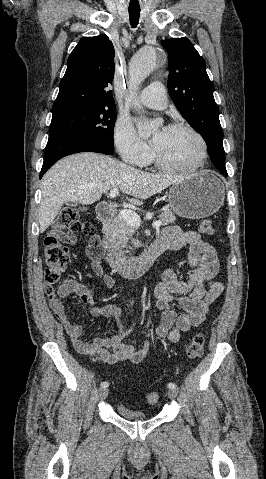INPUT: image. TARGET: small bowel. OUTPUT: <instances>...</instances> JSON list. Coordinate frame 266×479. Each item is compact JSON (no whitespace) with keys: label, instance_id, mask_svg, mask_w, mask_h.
Here are the masks:
<instances>
[{"label":"small bowel","instance_id":"small-bowel-1","mask_svg":"<svg viewBox=\"0 0 266 479\" xmlns=\"http://www.w3.org/2000/svg\"><path fill=\"white\" fill-rule=\"evenodd\" d=\"M60 239L68 244L76 242V236L64 233ZM166 250H177L185 246L189 247L188 263L189 276L186 280H180L173 268L165 270L162 281L155 287L157 307L161 310V322L156 328L159 338H168L171 342H178L181 333L193 327L200 326L206 318L210 305L223 292V285L215 280L219 270V260L214 248L203 241L199 233L195 231L182 232L177 226H167L163 229L159 239ZM96 245L90 243L89 246ZM92 258L90 272L94 279L100 281L106 289L115 286L112 275L103 273V262L99 258ZM206 284L209 288H206ZM76 295L83 305L91 306L90 316L121 318L122 311L116 305L107 304L95 307L94 299L87 286L74 279L67 278L62 284L47 292L48 301L52 312L62 324L69 335L74 348L81 354L97 357L107 364L129 360L132 363H140L145 358L148 343L145 342L142 349H136L132 345L122 342L124 336L123 326L120 335L114 338L94 337L91 341L81 339L82 327L71 322L64 299L69 295ZM176 301L182 310L177 313L171 303Z\"/></svg>","mask_w":266,"mask_h":479}]
</instances>
